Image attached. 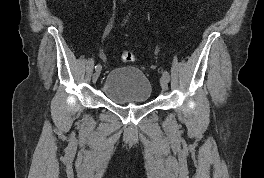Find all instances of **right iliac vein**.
<instances>
[{
  "mask_svg": "<svg viewBox=\"0 0 264 178\" xmlns=\"http://www.w3.org/2000/svg\"><path fill=\"white\" fill-rule=\"evenodd\" d=\"M99 75H100V71H96L94 74H93V82L95 83L97 80H98V78H99Z\"/></svg>",
  "mask_w": 264,
  "mask_h": 178,
  "instance_id": "obj_1",
  "label": "right iliac vein"
}]
</instances>
